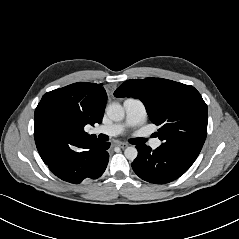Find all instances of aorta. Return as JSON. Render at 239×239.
<instances>
[{
    "mask_svg": "<svg viewBox=\"0 0 239 239\" xmlns=\"http://www.w3.org/2000/svg\"><path fill=\"white\" fill-rule=\"evenodd\" d=\"M107 115L113 121H121L124 118L125 112L123 107L119 103H111L106 108ZM125 157L128 160H135L138 151L134 146L127 147L124 151Z\"/></svg>",
    "mask_w": 239,
    "mask_h": 239,
    "instance_id": "1",
    "label": "aorta"
}]
</instances>
